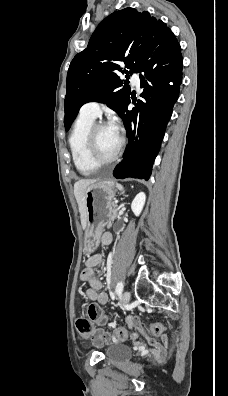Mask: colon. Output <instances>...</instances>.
I'll list each match as a JSON object with an SVG mask.
<instances>
[{
    "instance_id": "5ec220e1",
    "label": "colon",
    "mask_w": 228,
    "mask_h": 396,
    "mask_svg": "<svg viewBox=\"0 0 228 396\" xmlns=\"http://www.w3.org/2000/svg\"><path fill=\"white\" fill-rule=\"evenodd\" d=\"M88 316L89 318H79L76 321V327L79 334L86 339L94 336V324H105L107 320L103 309L97 304H91L89 306ZM162 330L163 326L160 322H153L147 328L140 329L132 335H129L126 329L119 328L116 332V336L119 340H127L129 337L135 338L139 335L145 337L159 336L161 335Z\"/></svg>"
}]
</instances>
